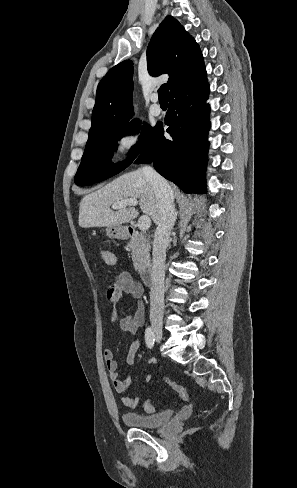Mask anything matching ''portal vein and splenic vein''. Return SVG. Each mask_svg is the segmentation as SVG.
Instances as JSON below:
<instances>
[{
  "instance_id": "1",
  "label": "portal vein and splenic vein",
  "mask_w": 297,
  "mask_h": 488,
  "mask_svg": "<svg viewBox=\"0 0 297 488\" xmlns=\"http://www.w3.org/2000/svg\"><path fill=\"white\" fill-rule=\"evenodd\" d=\"M137 204H138L137 199L129 198V199L123 200L121 202L112 204V208L113 209H120V208H123L126 206H136ZM150 225H151V220H150L149 216L143 215L138 219V225L137 226L140 230H142V231L148 230L150 228Z\"/></svg>"
}]
</instances>
